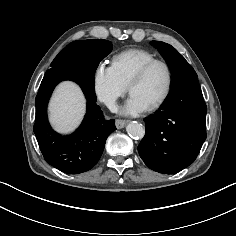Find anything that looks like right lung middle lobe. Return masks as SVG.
<instances>
[{
  "instance_id": "1",
  "label": "right lung middle lobe",
  "mask_w": 236,
  "mask_h": 236,
  "mask_svg": "<svg viewBox=\"0 0 236 236\" xmlns=\"http://www.w3.org/2000/svg\"><path fill=\"white\" fill-rule=\"evenodd\" d=\"M112 50L107 40L74 41L67 45L51 63V69L85 68L95 72L97 64ZM49 69L48 71H51Z\"/></svg>"
}]
</instances>
